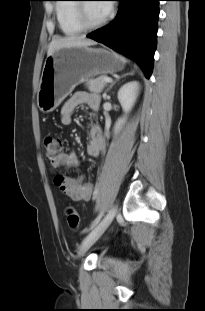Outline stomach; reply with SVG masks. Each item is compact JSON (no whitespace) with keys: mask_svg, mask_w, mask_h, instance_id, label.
I'll use <instances>...</instances> for the list:
<instances>
[{"mask_svg":"<svg viewBox=\"0 0 205 311\" xmlns=\"http://www.w3.org/2000/svg\"><path fill=\"white\" fill-rule=\"evenodd\" d=\"M123 67L122 58L107 49H59L45 60L37 105L43 112H52L81 82L96 74L120 71Z\"/></svg>","mask_w":205,"mask_h":311,"instance_id":"1","label":"stomach"}]
</instances>
